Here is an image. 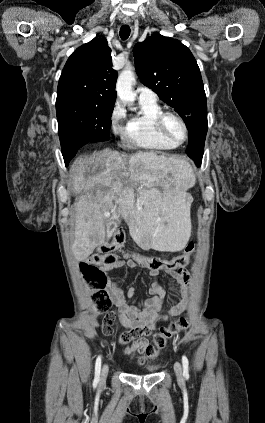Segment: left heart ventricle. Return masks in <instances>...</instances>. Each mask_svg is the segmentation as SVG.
<instances>
[{
	"instance_id": "left-heart-ventricle-1",
	"label": "left heart ventricle",
	"mask_w": 265,
	"mask_h": 423,
	"mask_svg": "<svg viewBox=\"0 0 265 423\" xmlns=\"http://www.w3.org/2000/svg\"><path fill=\"white\" fill-rule=\"evenodd\" d=\"M167 129L169 133L176 139H181L184 135L182 125L174 118L167 120Z\"/></svg>"
}]
</instances>
